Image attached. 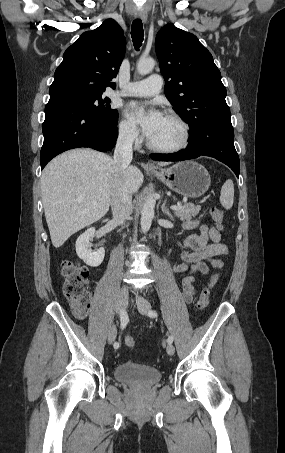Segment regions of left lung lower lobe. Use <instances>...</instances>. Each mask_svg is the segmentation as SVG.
Listing matches in <instances>:
<instances>
[{
	"label": "left lung lower lobe",
	"instance_id": "left-lung-lower-lobe-1",
	"mask_svg": "<svg viewBox=\"0 0 285 453\" xmlns=\"http://www.w3.org/2000/svg\"><path fill=\"white\" fill-rule=\"evenodd\" d=\"M210 156L228 165L239 176V157L234 147L232 125L210 124L189 134V144L183 151L173 154H151L157 161H182L198 156Z\"/></svg>",
	"mask_w": 285,
	"mask_h": 453
}]
</instances>
